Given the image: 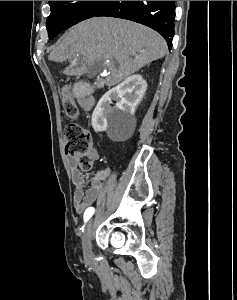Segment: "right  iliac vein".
<instances>
[{
    "instance_id": "63e3f726",
    "label": "right iliac vein",
    "mask_w": 237,
    "mask_h": 300,
    "mask_svg": "<svg viewBox=\"0 0 237 300\" xmlns=\"http://www.w3.org/2000/svg\"><path fill=\"white\" fill-rule=\"evenodd\" d=\"M92 220L93 219H90V221L87 223L83 234V239H82L84 253L88 256L91 253V236H92V228H93Z\"/></svg>"
}]
</instances>
